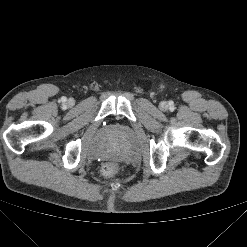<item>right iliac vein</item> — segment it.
Instances as JSON below:
<instances>
[{
	"instance_id": "right-iliac-vein-1",
	"label": "right iliac vein",
	"mask_w": 247,
	"mask_h": 247,
	"mask_svg": "<svg viewBox=\"0 0 247 247\" xmlns=\"http://www.w3.org/2000/svg\"><path fill=\"white\" fill-rule=\"evenodd\" d=\"M68 104H69V105H73V104H74V100H73V99H69V100H68Z\"/></svg>"
}]
</instances>
